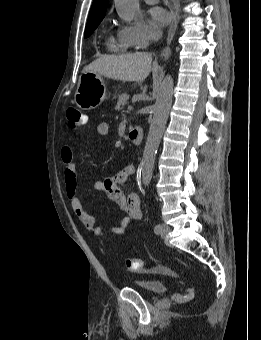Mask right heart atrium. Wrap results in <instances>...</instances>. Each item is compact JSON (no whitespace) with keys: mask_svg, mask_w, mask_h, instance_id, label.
Instances as JSON below:
<instances>
[{"mask_svg":"<svg viewBox=\"0 0 261 340\" xmlns=\"http://www.w3.org/2000/svg\"><path fill=\"white\" fill-rule=\"evenodd\" d=\"M119 31L138 48L146 47L155 36L154 31L140 17L123 25Z\"/></svg>","mask_w":261,"mask_h":340,"instance_id":"right-heart-atrium-1","label":"right heart atrium"}]
</instances>
